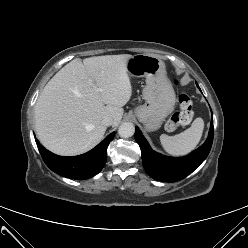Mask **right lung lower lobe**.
Wrapping results in <instances>:
<instances>
[{"instance_id":"obj_1","label":"right lung lower lobe","mask_w":248,"mask_h":248,"mask_svg":"<svg viewBox=\"0 0 248 248\" xmlns=\"http://www.w3.org/2000/svg\"><path fill=\"white\" fill-rule=\"evenodd\" d=\"M115 132L87 153L73 157L58 156L46 150L35 138L40 154L46 165L55 173L70 179L83 180L98 174L107 160V147Z\"/></svg>"}]
</instances>
